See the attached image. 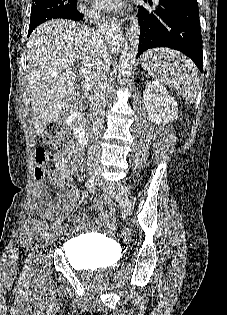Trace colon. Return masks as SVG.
Returning <instances> with one entry per match:
<instances>
[{"label":"colon","mask_w":227,"mask_h":315,"mask_svg":"<svg viewBox=\"0 0 227 315\" xmlns=\"http://www.w3.org/2000/svg\"><path fill=\"white\" fill-rule=\"evenodd\" d=\"M68 139L69 132L64 124L55 123L47 127L41 138L43 147L39 148L35 154L37 166L34 170V175L36 180H44L49 172L47 166L49 161L47 150L61 151L66 146ZM108 224L109 229L112 231H117L119 229L118 219H109Z\"/></svg>","instance_id":"colon-1"}]
</instances>
